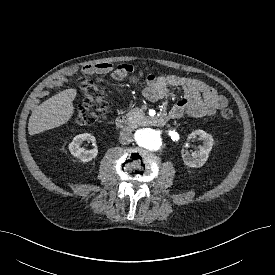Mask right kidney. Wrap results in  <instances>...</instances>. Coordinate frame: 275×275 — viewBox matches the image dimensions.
<instances>
[{
	"instance_id": "ca27d5eb",
	"label": "right kidney",
	"mask_w": 275,
	"mask_h": 275,
	"mask_svg": "<svg viewBox=\"0 0 275 275\" xmlns=\"http://www.w3.org/2000/svg\"><path fill=\"white\" fill-rule=\"evenodd\" d=\"M95 142V137L89 133L79 134L74 137L73 141L69 144V150L71 154L79 158L83 162H88L94 159L98 154V149L95 144L94 148L91 150H86L81 147V144L84 142Z\"/></svg>"
}]
</instances>
